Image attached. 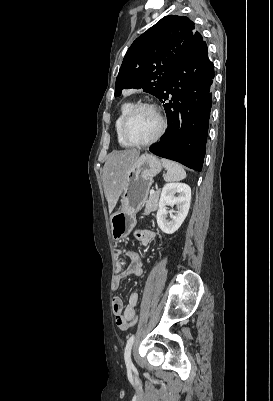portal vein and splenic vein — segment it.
I'll use <instances>...</instances> for the list:
<instances>
[{
    "instance_id": "portal-vein-and-splenic-vein-1",
    "label": "portal vein and splenic vein",
    "mask_w": 273,
    "mask_h": 401,
    "mask_svg": "<svg viewBox=\"0 0 273 401\" xmlns=\"http://www.w3.org/2000/svg\"><path fill=\"white\" fill-rule=\"evenodd\" d=\"M151 192H154L153 188H152Z\"/></svg>"
}]
</instances>
